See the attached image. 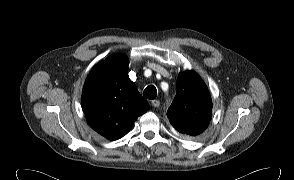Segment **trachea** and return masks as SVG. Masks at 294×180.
<instances>
[{"instance_id":"1","label":"trachea","mask_w":294,"mask_h":180,"mask_svg":"<svg viewBox=\"0 0 294 180\" xmlns=\"http://www.w3.org/2000/svg\"><path fill=\"white\" fill-rule=\"evenodd\" d=\"M143 96L148 99H155L157 96V89L154 85H150L146 87V89L143 92Z\"/></svg>"}]
</instances>
